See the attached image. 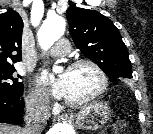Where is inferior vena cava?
<instances>
[{"label":"inferior vena cava","instance_id":"inferior-vena-cava-1","mask_svg":"<svg viewBox=\"0 0 153 134\" xmlns=\"http://www.w3.org/2000/svg\"><path fill=\"white\" fill-rule=\"evenodd\" d=\"M48 118V102L45 99L36 98L27 101L23 134H41Z\"/></svg>","mask_w":153,"mask_h":134}]
</instances>
